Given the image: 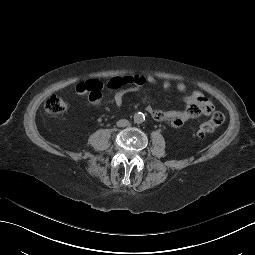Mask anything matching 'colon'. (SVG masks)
I'll return each mask as SVG.
<instances>
[{"mask_svg":"<svg viewBox=\"0 0 255 255\" xmlns=\"http://www.w3.org/2000/svg\"><path fill=\"white\" fill-rule=\"evenodd\" d=\"M68 104L61 97L52 95L45 102V110L47 113L57 115L65 112ZM225 121V116L221 112H215L210 119L199 124L197 128V135L204 137L205 135L214 132V130L221 126Z\"/></svg>","mask_w":255,"mask_h":255,"instance_id":"colon-1","label":"colon"}]
</instances>
